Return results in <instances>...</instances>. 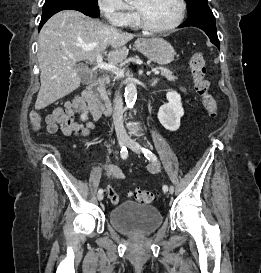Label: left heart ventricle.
Here are the masks:
<instances>
[{"instance_id":"left-heart-ventricle-1","label":"left heart ventricle","mask_w":261,"mask_h":273,"mask_svg":"<svg viewBox=\"0 0 261 273\" xmlns=\"http://www.w3.org/2000/svg\"><path fill=\"white\" fill-rule=\"evenodd\" d=\"M134 6L141 9L155 27H166L174 23L180 13L177 0H137Z\"/></svg>"}]
</instances>
